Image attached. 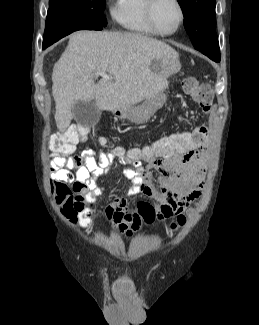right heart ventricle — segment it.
I'll return each mask as SVG.
<instances>
[{
	"instance_id": "1",
	"label": "right heart ventricle",
	"mask_w": 259,
	"mask_h": 325,
	"mask_svg": "<svg viewBox=\"0 0 259 325\" xmlns=\"http://www.w3.org/2000/svg\"><path fill=\"white\" fill-rule=\"evenodd\" d=\"M146 0H117L113 17L125 29L145 34L156 35L145 16Z\"/></svg>"
}]
</instances>
